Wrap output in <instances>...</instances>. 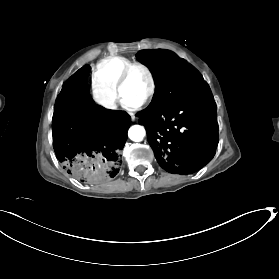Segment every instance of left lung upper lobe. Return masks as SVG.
Instances as JSON below:
<instances>
[{
    "mask_svg": "<svg viewBox=\"0 0 279 279\" xmlns=\"http://www.w3.org/2000/svg\"><path fill=\"white\" fill-rule=\"evenodd\" d=\"M136 57L148 66L156 85L152 102L141 111L146 115L167 108L205 84L200 73L171 51L145 50L138 52Z\"/></svg>",
    "mask_w": 279,
    "mask_h": 279,
    "instance_id": "obj_1",
    "label": "left lung upper lobe"
}]
</instances>
